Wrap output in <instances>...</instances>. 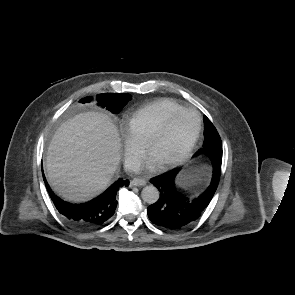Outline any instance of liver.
I'll list each match as a JSON object with an SVG mask.
<instances>
[{
  "label": "liver",
  "mask_w": 295,
  "mask_h": 295,
  "mask_svg": "<svg viewBox=\"0 0 295 295\" xmlns=\"http://www.w3.org/2000/svg\"><path fill=\"white\" fill-rule=\"evenodd\" d=\"M120 139L110 118L80 113L55 132L46 157L49 182L72 202L88 201L109 185L120 163Z\"/></svg>",
  "instance_id": "6515ba94"
}]
</instances>
